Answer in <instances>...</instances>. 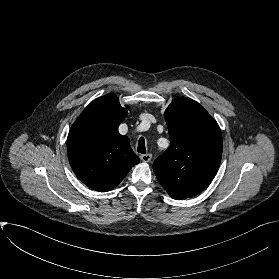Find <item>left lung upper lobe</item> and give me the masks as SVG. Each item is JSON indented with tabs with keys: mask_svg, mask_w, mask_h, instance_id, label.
<instances>
[{
	"mask_svg": "<svg viewBox=\"0 0 279 279\" xmlns=\"http://www.w3.org/2000/svg\"><path fill=\"white\" fill-rule=\"evenodd\" d=\"M170 146L153 163L159 183L174 199L204 190L216 175L222 157L217 122L196 101L177 98L165 110Z\"/></svg>",
	"mask_w": 279,
	"mask_h": 279,
	"instance_id": "5c2ea615",
	"label": "left lung upper lobe"
}]
</instances>
